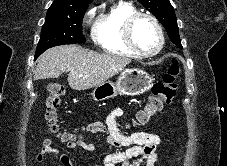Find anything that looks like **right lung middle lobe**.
<instances>
[{"label":"right lung middle lobe","mask_w":227,"mask_h":166,"mask_svg":"<svg viewBox=\"0 0 227 166\" xmlns=\"http://www.w3.org/2000/svg\"><path fill=\"white\" fill-rule=\"evenodd\" d=\"M85 10L47 12L35 58L53 46L85 43L86 39L82 35V20Z\"/></svg>","instance_id":"right-lung-middle-lobe-1"}]
</instances>
